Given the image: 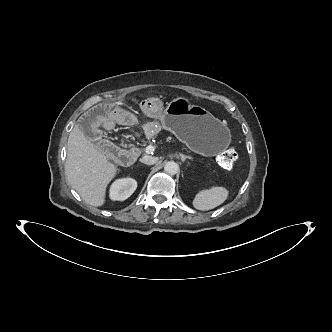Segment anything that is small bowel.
Masks as SVG:
<instances>
[{
	"mask_svg": "<svg viewBox=\"0 0 332 332\" xmlns=\"http://www.w3.org/2000/svg\"><path fill=\"white\" fill-rule=\"evenodd\" d=\"M163 102L153 98H145L140 101L139 108L146 112L151 118H158L163 113ZM110 130L114 126L134 127L138 123V118L134 114H129L124 107L105 102H95L78 117V127L82 131V136L88 142H97L103 136V127Z\"/></svg>",
	"mask_w": 332,
	"mask_h": 332,
	"instance_id": "small-bowel-1",
	"label": "small bowel"
}]
</instances>
